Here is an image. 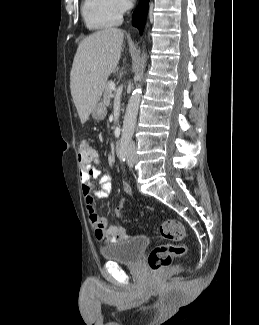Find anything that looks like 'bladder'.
I'll use <instances>...</instances> for the list:
<instances>
[{
    "label": "bladder",
    "instance_id": "31cf9c89",
    "mask_svg": "<svg viewBox=\"0 0 259 325\" xmlns=\"http://www.w3.org/2000/svg\"><path fill=\"white\" fill-rule=\"evenodd\" d=\"M149 243L148 237L135 236L122 242L103 246L100 254L107 261L133 265L140 260Z\"/></svg>",
    "mask_w": 259,
    "mask_h": 325
}]
</instances>
